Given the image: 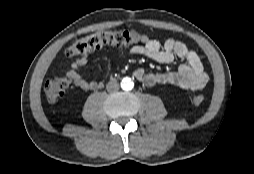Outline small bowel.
<instances>
[{
  "mask_svg": "<svg viewBox=\"0 0 254 174\" xmlns=\"http://www.w3.org/2000/svg\"><path fill=\"white\" fill-rule=\"evenodd\" d=\"M133 55L145 56L162 64H171L179 58L182 63L177 70L171 72H146L142 68L134 71L135 78L147 87L157 84H170L187 90H200L208 82V75L198 54L191 50L185 43L167 39L161 43L157 39L143 34L140 44L130 49ZM88 61L87 55L77 57L71 64L67 76L73 84L83 90H94L102 87L100 81L87 80L79 73V70Z\"/></svg>",
  "mask_w": 254,
  "mask_h": 174,
  "instance_id": "c3829d8e",
  "label": "small bowel"
}]
</instances>
